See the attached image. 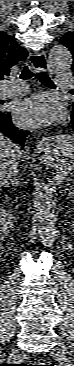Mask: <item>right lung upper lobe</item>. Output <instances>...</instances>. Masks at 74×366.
<instances>
[{"instance_id":"right-lung-upper-lobe-1","label":"right lung upper lobe","mask_w":74,"mask_h":366,"mask_svg":"<svg viewBox=\"0 0 74 366\" xmlns=\"http://www.w3.org/2000/svg\"><path fill=\"white\" fill-rule=\"evenodd\" d=\"M26 49L20 47L8 34L0 31V80L9 75L10 68L26 59Z\"/></svg>"}]
</instances>
